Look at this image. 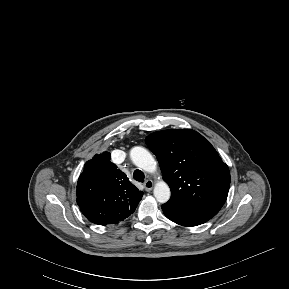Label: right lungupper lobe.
Here are the masks:
<instances>
[{
	"label": "right lung upper lobe",
	"mask_w": 289,
	"mask_h": 289,
	"mask_svg": "<svg viewBox=\"0 0 289 289\" xmlns=\"http://www.w3.org/2000/svg\"><path fill=\"white\" fill-rule=\"evenodd\" d=\"M110 153L96 154L84 165L77 182V204L95 224L118 223L132 214L143 192L110 161Z\"/></svg>",
	"instance_id": "1"
}]
</instances>
